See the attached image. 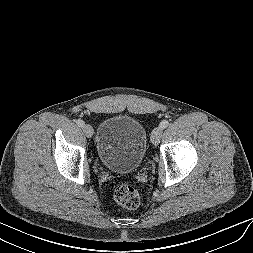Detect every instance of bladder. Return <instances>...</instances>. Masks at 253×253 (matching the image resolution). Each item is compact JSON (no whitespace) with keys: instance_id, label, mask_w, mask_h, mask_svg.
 <instances>
[{"instance_id":"1","label":"bladder","mask_w":253,"mask_h":253,"mask_svg":"<svg viewBox=\"0 0 253 253\" xmlns=\"http://www.w3.org/2000/svg\"><path fill=\"white\" fill-rule=\"evenodd\" d=\"M147 133L143 124L129 115L105 118L98 126L95 151L99 162L117 173H131L143 162Z\"/></svg>"}]
</instances>
